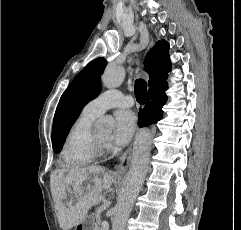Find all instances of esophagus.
Listing matches in <instances>:
<instances>
[{"label":"esophagus","instance_id":"obj_1","mask_svg":"<svg viewBox=\"0 0 241 230\" xmlns=\"http://www.w3.org/2000/svg\"><path fill=\"white\" fill-rule=\"evenodd\" d=\"M131 154H132V145L128 147V149L123 153L120 162L117 167V172L118 173H123L124 171L127 170L130 160H131Z\"/></svg>","mask_w":241,"mask_h":230}]
</instances>
